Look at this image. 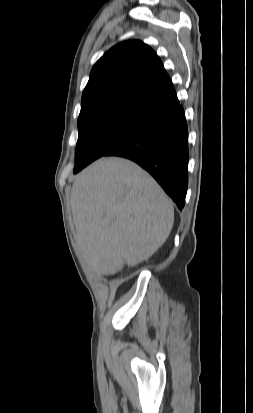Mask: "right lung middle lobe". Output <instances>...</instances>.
Returning <instances> with one entry per match:
<instances>
[{"instance_id":"dd1d6c3e","label":"right lung middle lobe","mask_w":253,"mask_h":413,"mask_svg":"<svg viewBox=\"0 0 253 413\" xmlns=\"http://www.w3.org/2000/svg\"><path fill=\"white\" fill-rule=\"evenodd\" d=\"M155 116L130 108H108L78 118L74 173L149 126Z\"/></svg>"}]
</instances>
